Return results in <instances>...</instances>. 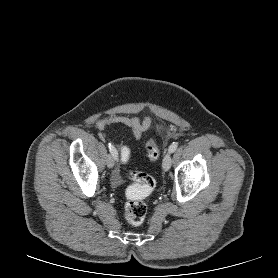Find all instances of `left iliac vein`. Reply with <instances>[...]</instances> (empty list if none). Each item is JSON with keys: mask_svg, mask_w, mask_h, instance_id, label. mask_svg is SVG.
<instances>
[{"mask_svg": "<svg viewBox=\"0 0 278 278\" xmlns=\"http://www.w3.org/2000/svg\"><path fill=\"white\" fill-rule=\"evenodd\" d=\"M171 163H172V158H171V153L168 152L162 162V168L164 171H168L171 167Z\"/></svg>", "mask_w": 278, "mask_h": 278, "instance_id": "left-iliac-vein-1", "label": "left iliac vein"}]
</instances>
